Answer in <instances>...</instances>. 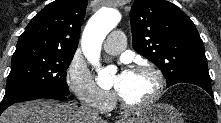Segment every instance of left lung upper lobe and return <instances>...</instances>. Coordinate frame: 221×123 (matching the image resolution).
Segmentation results:
<instances>
[{
    "label": "left lung upper lobe",
    "mask_w": 221,
    "mask_h": 123,
    "mask_svg": "<svg viewBox=\"0 0 221 123\" xmlns=\"http://www.w3.org/2000/svg\"><path fill=\"white\" fill-rule=\"evenodd\" d=\"M132 45L163 73L167 86L185 79L211 81L203 41L194 23L165 0H135Z\"/></svg>",
    "instance_id": "1"
}]
</instances>
